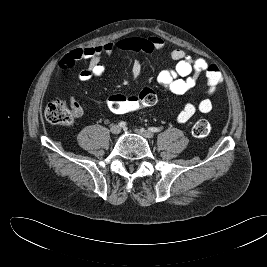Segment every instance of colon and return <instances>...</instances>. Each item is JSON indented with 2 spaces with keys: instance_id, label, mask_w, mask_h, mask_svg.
Listing matches in <instances>:
<instances>
[{
  "instance_id": "5ec220e1",
  "label": "colon",
  "mask_w": 267,
  "mask_h": 267,
  "mask_svg": "<svg viewBox=\"0 0 267 267\" xmlns=\"http://www.w3.org/2000/svg\"><path fill=\"white\" fill-rule=\"evenodd\" d=\"M109 110L115 114H128L154 105L157 95L151 88H142L136 95L113 94L107 100ZM46 120L54 125H70L75 119V112L63 101L50 102L45 108ZM211 125L208 120L200 119L192 127V133L197 138L209 135Z\"/></svg>"
}]
</instances>
